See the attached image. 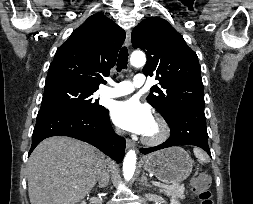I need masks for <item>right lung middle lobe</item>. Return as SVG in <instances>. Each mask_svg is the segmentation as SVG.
<instances>
[{
	"instance_id": "1",
	"label": "right lung middle lobe",
	"mask_w": 253,
	"mask_h": 204,
	"mask_svg": "<svg viewBox=\"0 0 253 204\" xmlns=\"http://www.w3.org/2000/svg\"><path fill=\"white\" fill-rule=\"evenodd\" d=\"M96 90L68 82L45 84L40 111L69 110L97 116L105 108L92 98Z\"/></svg>"
}]
</instances>
